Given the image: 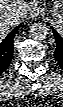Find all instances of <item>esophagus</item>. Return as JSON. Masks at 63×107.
<instances>
[{"label":"esophagus","instance_id":"34e87169","mask_svg":"<svg viewBox=\"0 0 63 107\" xmlns=\"http://www.w3.org/2000/svg\"><path fill=\"white\" fill-rule=\"evenodd\" d=\"M43 11L44 10L42 7H40L39 5H34L30 10V14L32 17H38L43 13Z\"/></svg>","mask_w":63,"mask_h":107}]
</instances>
